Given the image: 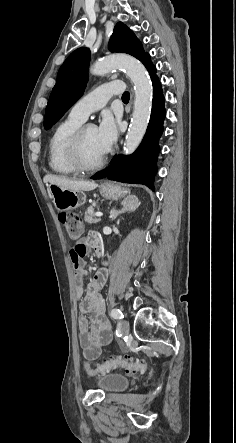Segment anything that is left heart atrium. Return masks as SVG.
Returning a JSON list of instances; mask_svg holds the SVG:
<instances>
[{"mask_svg": "<svg viewBox=\"0 0 236 443\" xmlns=\"http://www.w3.org/2000/svg\"><path fill=\"white\" fill-rule=\"evenodd\" d=\"M97 137L103 153L110 150L117 139V123L110 113H104L96 127Z\"/></svg>", "mask_w": 236, "mask_h": 443, "instance_id": "39dd6f15", "label": "left heart atrium"}]
</instances>
